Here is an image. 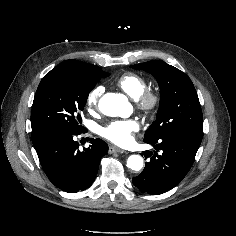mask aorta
Returning a JSON list of instances; mask_svg holds the SVG:
<instances>
[{"instance_id":"aorta-1","label":"aorta","mask_w":236,"mask_h":236,"mask_svg":"<svg viewBox=\"0 0 236 236\" xmlns=\"http://www.w3.org/2000/svg\"><path fill=\"white\" fill-rule=\"evenodd\" d=\"M129 108L127 98L122 94L107 93L99 101V110L107 116H123ZM127 167L140 171L143 167V158L140 155H131L127 160Z\"/></svg>"}]
</instances>
